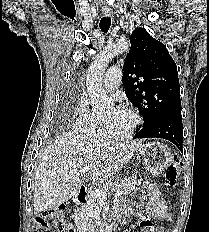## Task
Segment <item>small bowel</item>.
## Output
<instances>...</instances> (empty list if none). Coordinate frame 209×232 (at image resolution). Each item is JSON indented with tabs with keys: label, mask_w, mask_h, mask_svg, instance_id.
I'll return each instance as SVG.
<instances>
[{
	"label": "small bowel",
	"mask_w": 209,
	"mask_h": 232,
	"mask_svg": "<svg viewBox=\"0 0 209 232\" xmlns=\"http://www.w3.org/2000/svg\"><path fill=\"white\" fill-rule=\"evenodd\" d=\"M146 196L148 197L147 216L142 221L143 229L141 232H163L154 222L158 220H170L171 215L155 184L150 182L143 184L139 197L145 198ZM123 208L126 207H118L114 211V217H119Z\"/></svg>",
	"instance_id": "small-bowel-1"
}]
</instances>
